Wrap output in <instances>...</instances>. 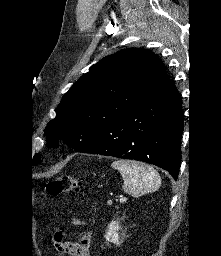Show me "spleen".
Here are the masks:
<instances>
[{"mask_svg": "<svg viewBox=\"0 0 221 256\" xmlns=\"http://www.w3.org/2000/svg\"><path fill=\"white\" fill-rule=\"evenodd\" d=\"M123 178V191L133 197H141L154 192L161 185L158 172L149 165L137 161L117 160L111 165Z\"/></svg>", "mask_w": 221, "mask_h": 256, "instance_id": "spleen-1", "label": "spleen"}]
</instances>
